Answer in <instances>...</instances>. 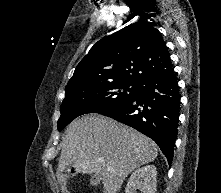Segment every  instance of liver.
<instances>
[{
    "label": "liver",
    "instance_id": "6515ba94",
    "mask_svg": "<svg viewBox=\"0 0 221 193\" xmlns=\"http://www.w3.org/2000/svg\"><path fill=\"white\" fill-rule=\"evenodd\" d=\"M157 155L155 142L147 136L109 117L91 114L67 127L58 167L60 172L72 166L84 174H94L102 180L103 193H117L132 171L154 161Z\"/></svg>",
    "mask_w": 221,
    "mask_h": 193
}]
</instances>
